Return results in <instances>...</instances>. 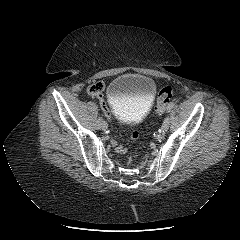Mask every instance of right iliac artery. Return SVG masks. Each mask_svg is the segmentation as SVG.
<instances>
[{
	"label": "right iliac artery",
	"instance_id": "82829eb1",
	"mask_svg": "<svg viewBox=\"0 0 240 240\" xmlns=\"http://www.w3.org/2000/svg\"><path fill=\"white\" fill-rule=\"evenodd\" d=\"M101 122H102V117L100 116L98 121L96 122V127L99 129L100 128V125H101Z\"/></svg>",
	"mask_w": 240,
	"mask_h": 240
}]
</instances>
